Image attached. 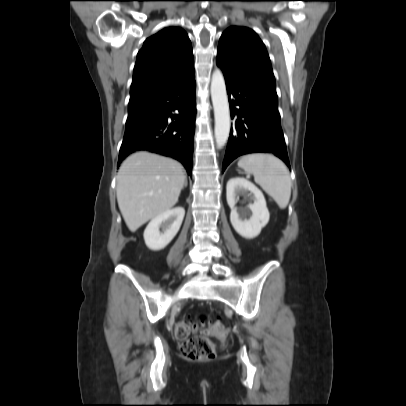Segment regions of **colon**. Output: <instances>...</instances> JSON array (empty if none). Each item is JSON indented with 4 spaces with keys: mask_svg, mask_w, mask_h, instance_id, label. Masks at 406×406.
Masks as SVG:
<instances>
[{
    "mask_svg": "<svg viewBox=\"0 0 406 406\" xmlns=\"http://www.w3.org/2000/svg\"><path fill=\"white\" fill-rule=\"evenodd\" d=\"M203 327L205 333H197ZM195 333L193 336L191 334ZM207 333L214 334L220 340L226 338V332L219 322H213L205 316L196 319H183L176 324L175 336L181 344V352L185 359L192 361L211 360L216 356V347L207 337Z\"/></svg>",
    "mask_w": 406,
    "mask_h": 406,
    "instance_id": "obj_1",
    "label": "colon"
}]
</instances>
